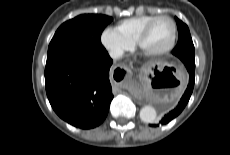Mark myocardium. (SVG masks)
Masks as SVG:
<instances>
[{
	"label": "myocardium",
	"mask_w": 230,
	"mask_h": 155,
	"mask_svg": "<svg viewBox=\"0 0 230 155\" xmlns=\"http://www.w3.org/2000/svg\"><path fill=\"white\" fill-rule=\"evenodd\" d=\"M160 19H166L171 23L172 29H173L172 39H171L169 45L160 51H147L144 49V46H143L144 41H145L152 25ZM177 35H178V28H177V24H176L175 20L168 15H158V16H155L153 19H151L148 23L145 24V26L142 28L141 32L139 33V35L137 37L136 44L139 47V49L145 55L151 56V57H161V56L167 55L169 52H171L173 50V48L175 47L176 41H177Z\"/></svg>",
	"instance_id": "f54148a6"
}]
</instances>
